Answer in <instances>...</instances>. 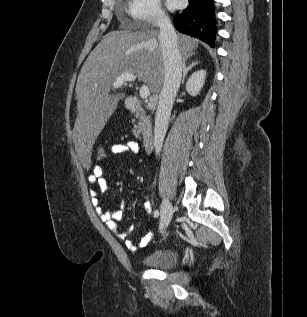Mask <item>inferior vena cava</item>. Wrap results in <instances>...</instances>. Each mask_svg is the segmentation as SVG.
<instances>
[{
  "label": "inferior vena cava",
  "instance_id": "obj_1",
  "mask_svg": "<svg viewBox=\"0 0 307 317\" xmlns=\"http://www.w3.org/2000/svg\"><path fill=\"white\" fill-rule=\"evenodd\" d=\"M157 26L164 67V81L159 94L154 126L155 153L160 155L173 103L180 86L182 57L178 49V38L170 19L161 16Z\"/></svg>",
  "mask_w": 307,
  "mask_h": 317
}]
</instances>
